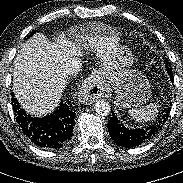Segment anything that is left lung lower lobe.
<instances>
[{"label": "left lung lower lobe", "instance_id": "obj_1", "mask_svg": "<svg viewBox=\"0 0 183 183\" xmlns=\"http://www.w3.org/2000/svg\"><path fill=\"white\" fill-rule=\"evenodd\" d=\"M166 68L172 79L173 74L171 67L167 65ZM170 109L171 108L169 107L165 116L163 117L164 121L166 118H168ZM161 127L162 123L159 122L145 128L129 129L119 122L114 112H112V117L108 122V131L110 137L115 141V143L125 148L135 147L144 143L145 141L152 138L160 130Z\"/></svg>", "mask_w": 183, "mask_h": 183}]
</instances>
